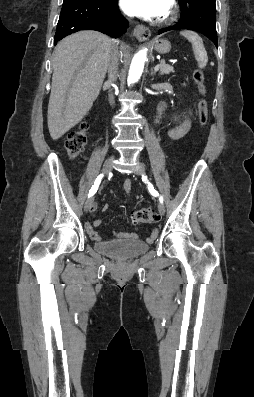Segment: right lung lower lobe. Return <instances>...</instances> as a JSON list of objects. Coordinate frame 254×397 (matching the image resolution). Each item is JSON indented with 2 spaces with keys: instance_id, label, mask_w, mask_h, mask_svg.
I'll return each instance as SVG.
<instances>
[{
  "instance_id": "right-lung-lower-lobe-1",
  "label": "right lung lower lobe",
  "mask_w": 254,
  "mask_h": 397,
  "mask_svg": "<svg viewBox=\"0 0 254 397\" xmlns=\"http://www.w3.org/2000/svg\"><path fill=\"white\" fill-rule=\"evenodd\" d=\"M127 26L128 22L120 14L117 0H64L54 44L80 30H97L117 38Z\"/></svg>"
}]
</instances>
